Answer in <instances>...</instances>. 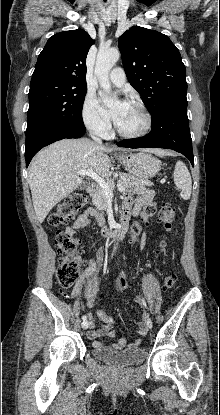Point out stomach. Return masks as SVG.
Wrapping results in <instances>:
<instances>
[{"instance_id":"obj_1","label":"stomach","mask_w":220,"mask_h":415,"mask_svg":"<svg viewBox=\"0 0 220 415\" xmlns=\"http://www.w3.org/2000/svg\"><path fill=\"white\" fill-rule=\"evenodd\" d=\"M117 160L131 174L143 179L155 176L161 169V162L145 151L123 154Z\"/></svg>"}]
</instances>
